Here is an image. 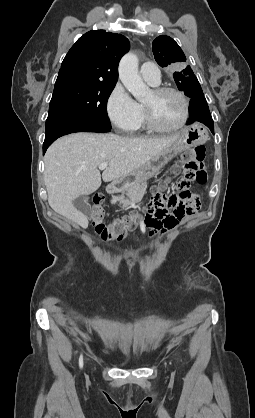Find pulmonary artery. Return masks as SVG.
I'll return each instance as SVG.
<instances>
[{"label": "pulmonary artery", "mask_w": 255, "mask_h": 418, "mask_svg": "<svg viewBox=\"0 0 255 418\" xmlns=\"http://www.w3.org/2000/svg\"><path fill=\"white\" fill-rule=\"evenodd\" d=\"M140 74L142 78L151 85L155 86L160 83V71L152 62L142 64Z\"/></svg>", "instance_id": "1"}]
</instances>
